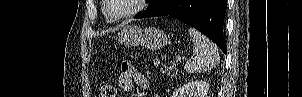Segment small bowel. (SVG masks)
Wrapping results in <instances>:
<instances>
[{"label": "small bowel", "instance_id": "obj_1", "mask_svg": "<svg viewBox=\"0 0 302 97\" xmlns=\"http://www.w3.org/2000/svg\"><path fill=\"white\" fill-rule=\"evenodd\" d=\"M119 85L124 91H131L134 86L141 90L149 87L147 78L130 63L123 62L121 65V73L119 76Z\"/></svg>", "mask_w": 302, "mask_h": 97}]
</instances>
